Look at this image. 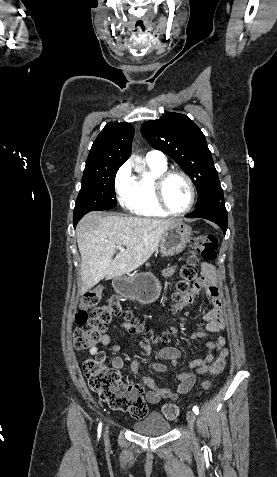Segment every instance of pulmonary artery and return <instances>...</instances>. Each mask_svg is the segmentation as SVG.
<instances>
[{
    "label": "pulmonary artery",
    "instance_id": "pulmonary-artery-1",
    "mask_svg": "<svg viewBox=\"0 0 277 477\" xmlns=\"http://www.w3.org/2000/svg\"><path fill=\"white\" fill-rule=\"evenodd\" d=\"M146 161L158 163V164H166L165 155L158 150H151L145 156Z\"/></svg>",
    "mask_w": 277,
    "mask_h": 477
}]
</instances>
